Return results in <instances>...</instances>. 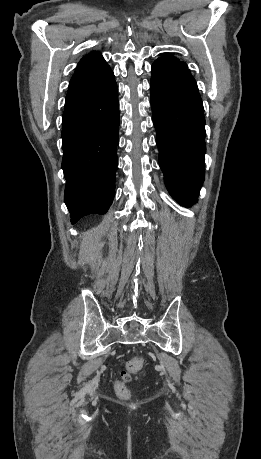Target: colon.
<instances>
[{"mask_svg": "<svg viewBox=\"0 0 261 459\" xmlns=\"http://www.w3.org/2000/svg\"><path fill=\"white\" fill-rule=\"evenodd\" d=\"M142 363V357H135L131 359L121 371L120 377L115 383V391L120 398L126 399L130 396L127 385L132 381L136 372L141 368Z\"/></svg>", "mask_w": 261, "mask_h": 459, "instance_id": "5ec220e1", "label": "colon"}]
</instances>
